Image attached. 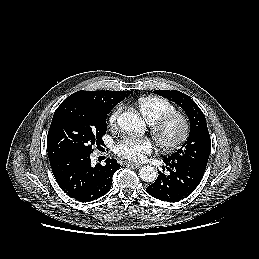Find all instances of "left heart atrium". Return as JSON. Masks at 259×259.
<instances>
[{
  "label": "left heart atrium",
  "instance_id": "39dd6f15",
  "mask_svg": "<svg viewBox=\"0 0 259 259\" xmlns=\"http://www.w3.org/2000/svg\"><path fill=\"white\" fill-rule=\"evenodd\" d=\"M152 143L147 138L125 137L114 146V152L131 161H141L152 151Z\"/></svg>",
  "mask_w": 259,
  "mask_h": 259
}]
</instances>
